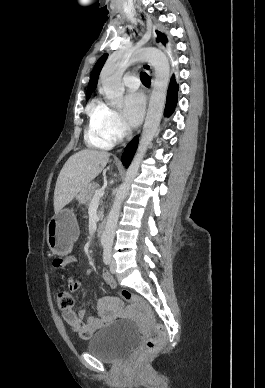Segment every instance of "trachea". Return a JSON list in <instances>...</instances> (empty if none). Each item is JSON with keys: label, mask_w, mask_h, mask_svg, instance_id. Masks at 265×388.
Here are the masks:
<instances>
[{"label": "trachea", "mask_w": 265, "mask_h": 388, "mask_svg": "<svg viewBox=\"0 0 265 388\" xmlns=\"http://www.w3.org/2000/svg\"><path fill=\"white\" fill-rule=\"evenodd\" d=\"M141 78H142L144 84H150V77L147 75V73L142 72Z\"/></svg>", "instance_id": "3493384b"}]
</instances>
